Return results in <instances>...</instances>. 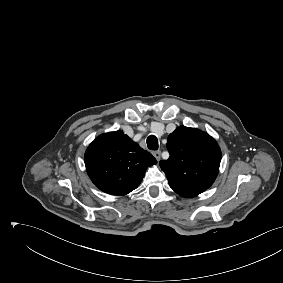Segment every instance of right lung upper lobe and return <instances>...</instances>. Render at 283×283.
Segmentation results:
<instances>
[{
  "instance_id": "right-lung-upper-lobe-1",
  "label": "right lung upper lobe",
  "mask_w": 283,
  "mask_h": 283,
  "mask_svg": "<svg viewBox=\"0 0 283 283\" xmlns=\"http://www.w3.org/2000/svg\"><path fill=\"white\" fill-rule=\"evenodd\" d=\"M149 152L140 148L122 131L98 136L85 152L86 171L103 192L123 196L141 183L146 168L156 164Z\"/></svg>"
}]
</instances>
